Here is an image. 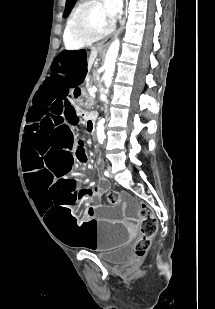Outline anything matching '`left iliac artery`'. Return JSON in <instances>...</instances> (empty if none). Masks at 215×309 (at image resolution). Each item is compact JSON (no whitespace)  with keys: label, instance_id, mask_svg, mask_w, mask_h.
<instances>
[{"label":"left iliac artery","instance_id":"1","mask_svg":"<svg viewBox=\"0 0 215 309\" xmlns=\"http://www.w3.org/2000/svg\"><path fill=\"white\" fill-rule=\"evenodd\" d=\"M104 175L107 176V177H109V172L106 170V171L104 172Z\"/></svg>","mask_w":215,"mask_h":309}]
</instances>
